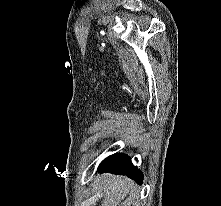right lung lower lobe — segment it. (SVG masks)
I'll list each match as a JSON object with an SVG mask.
<instances>
[{
    "mask_svg": "<svg viewBox=\"0 0 221 206\" xmlns=\"http://www.w3.org/2000/svg\"><path fill=\"white\" fill-rule=\"evenodd\" d=\"M98 171L126 175L138 184H141L143 180L141 171L134 167L130 158L125 154L118 153L107 157L99 165Z\"/></svg>",
    "mask_w": 221,
    "mask_h": 206,
    "instance_id": "1",
    "label": "right lung lower lobe"
}]
</instances>
